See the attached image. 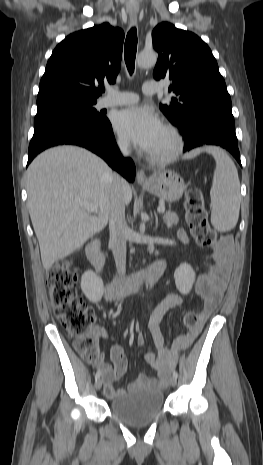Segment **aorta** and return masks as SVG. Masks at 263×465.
Returning <instances> with one entry per match:
<instances>
[{"label": "aorta", "mask_w": 263, "mask_h": 465, "mask_svg": "<svg viewBox=\"0 0 263 465\" xmlns=\"http://www.w3.org/2000/svg\"><path fill=\"white\" fill-rule=\"evenodd\" d=\"M157 54L153 51H142L137 56V65L141 68H149L156 64Z\"/></svg>", "instance_id": "762f6f07"}]
</instances>
